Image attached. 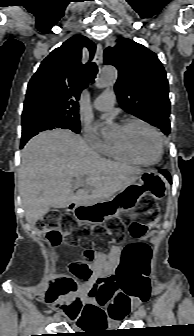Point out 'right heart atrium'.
<instances>
[{
  "mask_svg": "<svg viewBox=\"0 0 194 336\" xmlns=\"http://www.w3.org/2000/svg\"><path fill=\"white\" fill-rule=\"evenodd\" d=\"M83 136L88 146L95 152L102 153L106 147V142L103 141L90 126H85Z\"/></svg>",
  "mask_w": 194,
  "mask_h": 336,
  "instance_id": "d8ad5b80",
  "label": "right heart atrium"
}]
</instances>
